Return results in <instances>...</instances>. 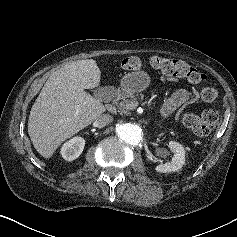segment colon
<instances>
[{"label": "colon", "instance_id": "colon-1", "mask_svg": "<svg viewBox=\"0 0 237 237\" xmlns=\"http://www.w3.org/2000/svg\"><path fill=\"white\" fill-rule=\"evenodd\" d=\"M146 63L167 76L185 78L192 84H204L200 90V97L204 102H213L217 97V90L208 84V77L182 60L153 56ZM121 65L124 70L137 71L143 68L145 61L139 57H128L122 61ZM218 120L219 115L214 109H206L201 117L191 113L183 116L185 126L200 136L210 134Z\"/></svg>", "mask_w": 237, "mask_h": 237}]
</instances>
